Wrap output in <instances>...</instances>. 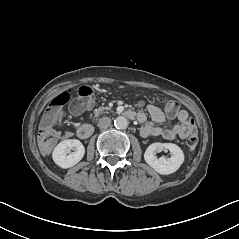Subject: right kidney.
Instances as JSON below:
<instances>
[{"mask_svg": "<svg viewBox=\"0 0 239 239\" xmlns=\"http://www.w3.org/2000/svg\"><path fill=\"white\" fill-rule=\"evenodd\" d=\"M85 154L83 144L77 139L63 141L53 150V161L63 170H72Z\"/></svg>", "mask_w": 239, "mask_h": 239, "instance_id": "obj_1", "label": "right kidney"}]
</instances>
